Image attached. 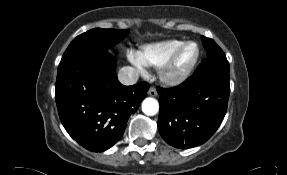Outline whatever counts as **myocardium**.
Wrapping results in <instances>:
<instances>
[{"instance_id":"myocardium-1","label":"myocardium","mask_w":287,"mask_h":175,"mask_svg":"<svg viewBox=\"0 0 287 175\" xmlns=\"http://www.w3.org/2000/svg\"><path fill=\"white\" fill-rule=\"evenodd\" d=\"M189 45L196 47V53L192 62L182 70H176L177 60L181 52ZM201 56V49L198 43L194 41H187L182 43L176 51L169 57V59L160 67V78L168 85H179L185 82L194 72Z\"/></svg>"}]
</instances>
